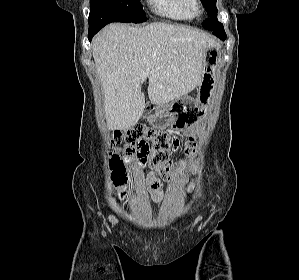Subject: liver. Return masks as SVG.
Returning <instances> with one entry per match:
<instances>
[{"mask_svg": "<svg viewBox=\"0 0 299 280\" xmlns=\"http://www.w3.org/2000/svg\"><path fill=\"white\" fill-rule=\"evenodd\" d=\"M218 44L209 36L178 25H107L92 43L104 94L109 130L136 125L145 108L141 91L148 78L152 104L169 103L193 91L202 80L205 51Z\"/></svg>", "mask_w": 299, "mask_h": 280, "instance_id": "6515ba94", "label": "liver"}]
</instances>
